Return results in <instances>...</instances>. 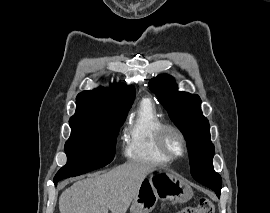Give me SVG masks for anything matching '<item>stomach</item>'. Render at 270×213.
<instances>
[{
  "label": "stomach",
  "mask_w": 270,
  "mask_h": 213,
  "mask_svg": "<svg viewBox=\"0 0 270 213\" xmlns=\"http://www.w3.org/2000/svg\"><path fill=\"white\" fill-rule=\"evenodd\" d=\"M192 196L193 191L185 179L169 170L158 168L142 182L130 213H150L158 199L185 203Z\"/></svg>",
  "instance_id": "obj_1"
}]
</instances>
